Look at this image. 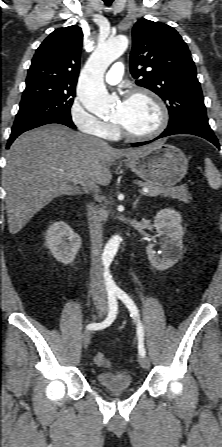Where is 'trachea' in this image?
<instances>
[{
    "instance_id": "1",
    "label": "trachea",
    "mask_w": 222,
    "mask_h": 447,
    "mask_svg": "<svg viewBox=\"0 0 222 447\" xmlns=\"http://www.w3.org/2000/svg\"><path fill=\"white\" fill-rule=\"evenodd\" d=\"M107 6H110L114 0H103Z\"/></svg>"
}]
</instances>
